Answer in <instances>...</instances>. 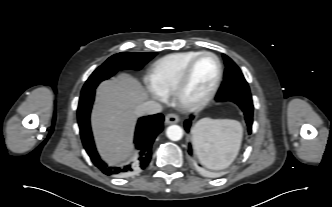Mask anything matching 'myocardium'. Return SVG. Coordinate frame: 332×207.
<instances>
[{
    "label": "myocardium",
    "instance_id": "obj_1",
    "mask_svg": "<svg viewBox=\"0 0 332 207\" xmlns=\"http://www.w3.org/2000/svg\"><path fill=\"white\" fill-rule=\"evenodd\" d=\"M205 56L213 57L217 63V75H216L215 81H214L212 87L210 88V90L203 97L194 99V100L188 99L186 97V90H187L193 69H194L196 63ZM222 75H223V66H222V63H221L219 57L212 52H208V51L201 52L196 57H194L183 70V72L180 76V79L173 91V96H174L175 102L178 104V106L180 108H182L184 110H188V111L196 110V109H199V108L205 106L216 95V93L219 89L221 80H222Z\"/></svg>",
    "mask_w": 332,
    "mask_h": 207
}]
</instances>
